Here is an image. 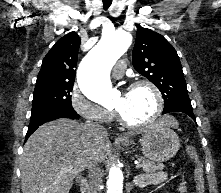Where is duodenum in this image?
<instances>
[{
  "mask_svg": "<svg viewBox=\"0 0 221 193\" xmlns=\"http://www.w3.org/2000/svg\"><path fill=\"white\" fill-rule=\"evenodd\" d=\"M81 193H90L89 182L86 178H82L80 181Z\"/></svg>",
  "mask_w": 221,
  "mask_h": 193,
  "instance_id": "410a0bca",
  "label": "duodenum"
}]
</instances>
